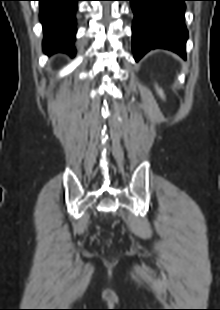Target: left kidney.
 Segmentation results:
<instances>
[{
    "mask_svg": "<svg viewBox=\"0 0 220 310\" xmlns=\"http://www.w3.org/2000/svg\"><path fill=\"white\" fill-rule=\"evenodd\" d=\"M157 92H158V94H159L162 98H164L163 91H162L161 89H159L158 87H157Z\"/></svg>",
    "mask_w": 220,
    "mask_h": 310,
    "instance_id": "obj_1",
    "label": "left kidney"
}]
</instances>
